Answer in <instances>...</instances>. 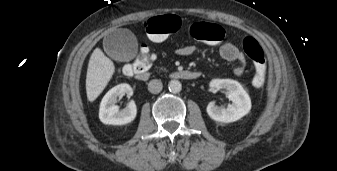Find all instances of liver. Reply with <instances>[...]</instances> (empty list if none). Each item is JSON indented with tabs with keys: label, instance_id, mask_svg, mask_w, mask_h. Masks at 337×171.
<instances>
[{
	"label": "liver",
	"instance_id": "obj_1",
	"mask_svg": "<svg viewBox=\"0 0 337 171\" xmlns=\"http://www.w3.org/2000/svg\"><path fill=\"white\" fill-rule=\"evenodd\" d=\"M114 72L112 60L100 48H96L90 57L86 76V93L90 102L102 93Z\"/></svg>",
	"mask_w": 337,
	"mask_h": 171
}]
</instances>
